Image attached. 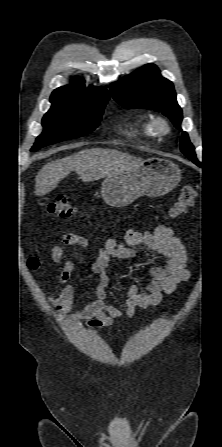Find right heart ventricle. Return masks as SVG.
<instances>
[{
	"mask_svg": "<svg viewBox=\"0 0 222 447\" xmlns=\"http://www.w3.org/2000/svg\"><path fill=\"white\" fill-rule=\"evenodd\" d=\"M128 133L133 136L140 135L144 137H153L155 135L148 119H137Z\"/></svg>",
	"mask_w": 222,
	"mask_h": 447,
	"instance_id": "e07e8e85",
	"label": "right heart ventricle"
}]
</instances>
